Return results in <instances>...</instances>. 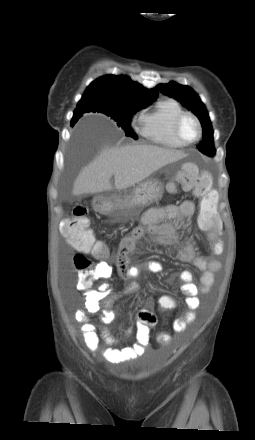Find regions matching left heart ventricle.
Segmentation results:
<instances>
[{
    "instance_id": "b2bd125f",
    "label": "left heart ventricle",
    "mask_w": 255,
    "mask_h": 440,
    "mask_svg": "<svg viewBox=\"0 0 255 440\" xmlns=\"http://www.w3.org/2000/svg\"><path fill=\"white\" fill-rule=\"evenodd\" d=\"M180 131L182 136L186 139V140H193L195 139L196 135H197V127L196 124L194 123V121L190 118H186L180 127Z\"/></svg>"
}]
</instances>
